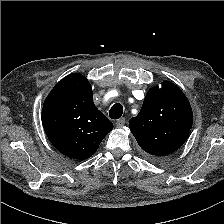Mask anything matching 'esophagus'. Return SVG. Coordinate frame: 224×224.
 <instances>
[{"mask_svg":"<svg viewBox=\"0 0 224 224\" xmlns=\"http://www.w3.org/2000/svg\"><path fill=\"white\" fill-rule=\"evenodd\" d=\"M125 123H126L125 118H121V119L117 120V122H116V126H117L118 128H121V127H123V126L125 125Z\"/></svg>","mask_w":224,"mask_h":224,"instance_id":"1","label":"esophagus"}]
</instances>
